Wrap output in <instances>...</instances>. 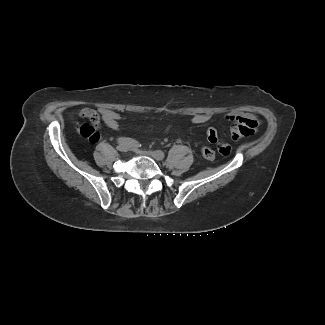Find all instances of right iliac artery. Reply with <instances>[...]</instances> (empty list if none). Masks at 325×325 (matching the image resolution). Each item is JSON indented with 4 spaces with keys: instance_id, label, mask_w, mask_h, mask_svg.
I'll list each match as a JSON object with an SVG mask.
<instances>
[{
    "instance_id": "right-iliac-artery-1",
    "label": "right iliac artery",
    "mask_w": 325,
    "mask_h": 325,
    "mask_svg": "<svg viewBox=\"0 0 325 325\" xmlns=\"http://www.w3.org/2000/svg\"><path fill=\"white\" fill-rule=\"evenodd\" d=\"M118 144L119 145H125L129 147H139L141 146L138 141L131 139V138H124L121 137L118 139Z\"/></svg>"
}]
</instances>
